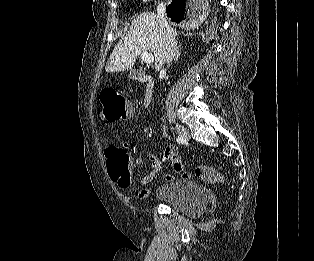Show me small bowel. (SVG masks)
<instances>
[{
  "instance_id": "obj_1",
  "label": "small bowel",
  "mask_w": 314,
  "mask_h": 261,
  "mask_svg": "<svg viewBox=\"0 0 314 261\" xmlns=\"http://www.w3.org/2000/svg\"><path fill=\"white\" fill-rule=\"evenodd\" d=\"M148 159L151 163L152 169L148 174H146L139 180L140 185H148L149 183H151L153 179L156 177V175L159 173V171L161 170L163 162L166 160H171L173 162L175 171L182 170L179 157L175 153L174 148L172 146L166 147L163 159H159L151 152L148 153ZM131 161H132V166L135 168L141 164L142 159L141 157H131ZM173 179H174L173 175L171 174L165 175V180L171 181ZM150 193H151L150 188H144L139 191L138 197L140 199H145L150 195Z\"/></svg>"
}]
</instances>
